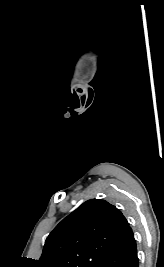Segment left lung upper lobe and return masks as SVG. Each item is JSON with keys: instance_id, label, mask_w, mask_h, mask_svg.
<instances>
[{"instance_id": "obj_1", "label": "left lung upper lobe", "mask_w": 164, "mask_h": 267, "mask_svg": "<svg viewBox=\"0 0 164 267\" xmlns=\"http://www.w3.org/2000/svg\"><path fill=\"white\" fill-rule=\"evenodd\" d=\"M129 223L105 200L91 199L64 218L46 239L38 267H99Z\"/></svg>"}]
</instances>
